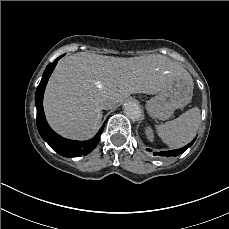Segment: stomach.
Segmentation results:
<instances>
[{"label":"stomach","instance_id":"stomach-1","mask_svg":"<svg viewBox=\"0 0 229 229\" xmlns=\"http://www.w3.org/2000/svg\"><path fill=\"white\" fill-rule=\"evenodd\" d=\"M192 92L193 86L174 80L158 95L145 101L144 109L150 117L168 120L173 116L175 109L182 108L190 102Z\"/></svg>","mask_w":229,"mask_h":229}]
</instances>
